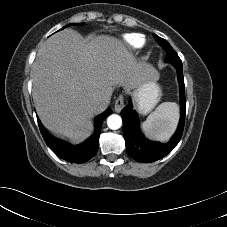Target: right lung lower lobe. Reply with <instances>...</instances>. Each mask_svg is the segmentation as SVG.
Listing matches in <instances>:
<instances>
[{"label": "right lung lower lobe", "instance_id": "98d812e1", "mask_svg": "<svg viewBox=\"0 0 227 227\" xmlns=\"http://www.w3.org/2000/svg\"><path fill=\"white\" fill-rule=\"evenodd\" d=\"M111 113L112 111L107 109L96 118L95 133L86 142L80 145H71L63 140H60L48 133L39 120L38 124L46 144L54 153L68 162L84 163L95 156L98 150L102 123Z\"/></svg>", "mask_w": 227, "mask_h": 227}]
</instances>
